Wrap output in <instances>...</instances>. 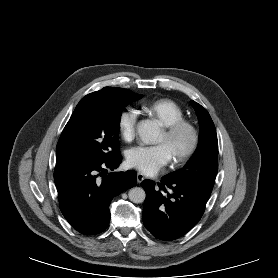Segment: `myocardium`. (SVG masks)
I'll list each match as a JSON object with an SVG mask.
<instances>
[{"label": "myocardium", "instance_id": "myocardium-1", "mask_svg": "<svg viewBox=\"0 0 278 278\" xmlns=\"http://www.w3.org/2000/svg\"><path fill=\"white\" fill-rule=\"evenodd\" d=\"M182 133L188 134L189 143L184 150L178 152L172 157V162L175 164L184 163L191 156H193L200 142V135L198 129L192 122L185 119L179 120L174 124L166 127L163 132L167 141L175 139Z\"/></svg>", "mask_w": 278, "mask_h": 278}]
</instances>
